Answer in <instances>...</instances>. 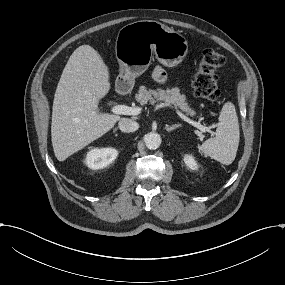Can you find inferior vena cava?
<instances>
[{"label": "inferior vena cava", "instance_id": "inferior-vena-cava-1", "mask_svg": "<svg viewBox=\"0 0 285 285\" xmlns=\"http://www.w3.org/2000/svg\"><path fill=\"white\" fill-rule=\"evenodd\" d=\"M118 126L120 130L125 133H131L138 129V123L129 118H122L119 121Z\"/></svg>", "mask_w": 285, "mask_h": 285}]
</instances>
